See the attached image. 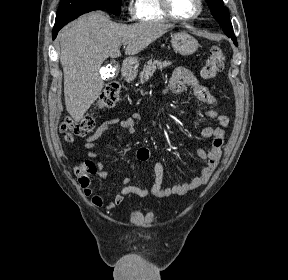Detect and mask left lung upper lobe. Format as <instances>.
<instances>
[{
    "label": "left lung upper lobe",
    "instance_id": "obj_1",
    "mask_svg": "<svg viewBox=\"0 0 288 280\" xmlns=\"http://www.w3.org/2000/svg\"><path fill=\"white\" fill-rule=\"evenodd\" d=\"M211 13L214 18L219 22L224 33L233 40V43L237 46V39L234 35L229 11L226 7L223 6V0H206Z\"/></svg>",
    "mask_w": 288,
    "mask_h": 280
}]
</instances>
